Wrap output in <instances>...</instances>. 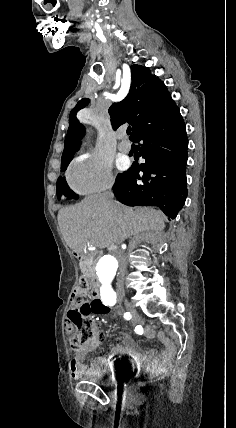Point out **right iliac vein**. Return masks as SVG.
<instances>
[{"mask_svg": "<svg viewBox=\"0 0 236 428\" xmlns=\"http://www.w3.org/2000/svg\"><path fill=\"white\" fill-rule=\"evenodd\" d=\"M121 300H123V301H124V304H123V305H124V307H126V308H127V307H129V305H130V304H129V302H127V301L125 302V299H124V298H121ZM132 318L135 320L137 317L134 315Z\"/></svg>", "mask_w": 236, "mask_h": 428, "instance_id": "1", "label": "right iliac vein"}]
</instances>
